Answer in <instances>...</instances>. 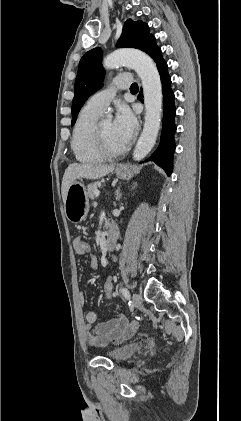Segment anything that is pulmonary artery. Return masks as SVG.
<instances>
[{
    "label": "pulmonary artery",
    "mask_w": 241,
    "mask_h": 421,
    "mask_svg": "<svg viewBox=\"0 0 241 421\" xmlns=\"http://www.w3.org/2000/svg\"><path fill=\"white\" fill-rule=\"evenodd\" d=\"M131 85V77L128 75H120L117 76L112 84L94 94L87 102V106L99 113H103L111 100L115 97L117 90L119 89H127Z\"/></svg>",
    "instance_id": "obj_1"
}]
</instances>
